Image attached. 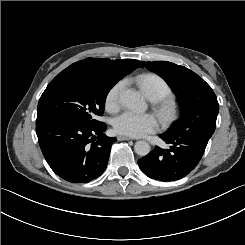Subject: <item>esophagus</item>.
Listing matches in <instances>:
<instances>
[{
	"mask_svg": "<svg viewBox=\"0 0 245 245\" xmlns=\"http://www.w3.org/2000/svg\"><path fill=\"white\" fill-rule=\"evenodd\" d=\"M117 139L119 141H124V140H131L132 138L128 137V136H123V135H118Z\"/></svg>",
	"mask_w": 245,
	"mask_h": 245,
	"instance_id": "esophagus-1",
	"label": "esophagus"
}]
</instances>
